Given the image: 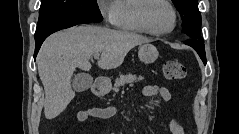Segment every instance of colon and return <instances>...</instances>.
<instances>
[{
    "instance_id": "1",
    "label": "colon",
    "mask_w": 239,
    "mask_h": 134,
    "mask_svg": "<svg viewBox=\"0 0 239 134\" xmlns=\"http://www.w3.org/2000/svg\"><path fill=\"white\" fill-rule=\"evenodd\" d=\"M163 73L168 80H181L186 75V68L179 61H168L163 67Z\"/></svg>"
}]
</instances>
